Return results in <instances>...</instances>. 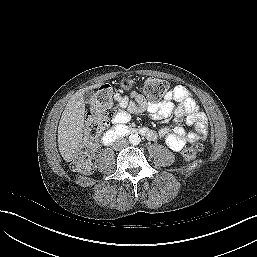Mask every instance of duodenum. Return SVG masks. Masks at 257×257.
Masks as SVG:
<instances>
[{
    "label": "duodenum",
    "instance_id": "410a0bca",
    "mask_svg": "<svg viewBox=\"0 0 257 257\" xmlns=\"http://www.w3.org/2000/svg\"><path fill=\"white\" fill-rule=\"evenodd\" d=\"M130 134H138V135H148L149 130L147 128H133L125 125H116L109 129L103 136V142L105 145H111L118 138L130 135Z\"/></svg>",
    "mask_w": 257,
    "mask_h": 257
}]
</instances>
